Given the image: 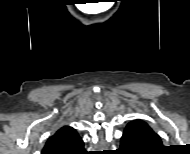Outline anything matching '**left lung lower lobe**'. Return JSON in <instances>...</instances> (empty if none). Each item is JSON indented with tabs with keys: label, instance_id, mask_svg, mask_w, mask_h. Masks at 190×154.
<instances>
[{
	"label": "left lung lower lobe",
	"instance_id": "obj_1",
	"mask_svg": "<svg viewBox=\"0 0 190 154\" xmlns=\"http://www.w3.org/2000/svg\"><path fill=\"white\" fill-rule=\"evenodd\" d=\"M160 137L148 124L141 120L130 122L122 135L120 150L127 154H144V152L161 147Z\"/></svg>",
	"mask_w": 190,
	"mask_h": 154
}]
</instances>
